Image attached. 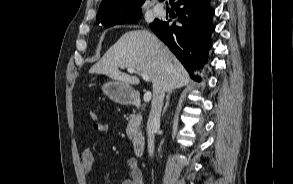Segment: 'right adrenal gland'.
Returning a JSON list of instances; mask_svg holds the SVG:
<instances>
[{"mask_svg":"<svg viewBox=\"0 0 293 184\" xmlns=\"http://www.w3.org/2000/svg\"><path fill=\"white\" fill-rule=\"evenodd\" d=\"M170 95L171 93H169L166 97V103H165V106H164V109H163V112H162V115L166 112L168 106H169V99H170Z\"/></svg>","mask_w":293,"mask_h":184,"instance_id":"2a0ac1e0","label":"right adrenal gland"}]
</instances>
